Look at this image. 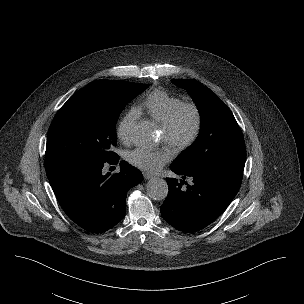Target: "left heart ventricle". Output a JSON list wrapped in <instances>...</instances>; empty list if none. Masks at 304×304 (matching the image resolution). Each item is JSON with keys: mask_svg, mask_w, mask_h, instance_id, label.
Segmentation results:
<instances>
[{"mask_svg": "<svg viewBox=\"0 0 304 304\" xmlns=\"http://www.w3.org/2000/svg\"><path fill=\"white\" fill-rule=\"evenodd\" d=\"M193 126V119L190 113H185L179 121L176 130V137L178 139L185 138L191 131ZM161 140L164 141L163 133L161 134Z\"/></svg>", "mask_w": 304, "mask_h": 304, "instance_id": "1", "label": "left heart ventricle"}]
</instances>
